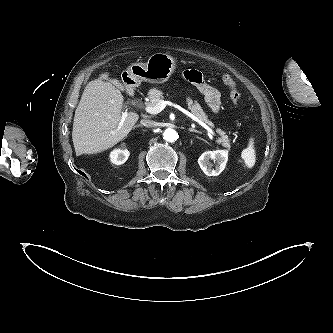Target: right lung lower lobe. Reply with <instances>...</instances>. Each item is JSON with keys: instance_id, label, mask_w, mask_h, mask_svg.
Here are the masks:
<instances>
[{"instance_id": "98d812e1", "label": "right lung lower lobe", "mask_w": 333, "mask_h": 333, "mask_svg": "<svg viewBox=\"0 0 333 333\" xmlns=\"http://www.w3.org/2000/svg\"><path fill=\"white\" fill-rule=\"evenodd\" d=\"M81 175H83V176H85L86 177V175L82 172V171H78Z\"/></svg>"}]
</instances>
